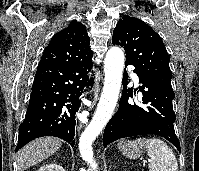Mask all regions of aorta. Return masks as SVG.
<instances>
[{
  "instance_id": "aorta-1",
  "label": "aorta",
  "mask_w": 199,
  "mask_h": 171,
  "mask_svg": "<svg viewBox=\"0 0 199 171\" xmlns=\"http://www.w3.org/2000/svg\"><path fill=\"white\" fill-rule=\"evenodd\" d=\"M124 53L119 47L108 50L104 65V86L96 112L79 140L81 157L95 170L92 143L112 116L121 88Z\"/></svg>"
}]
</instances>
